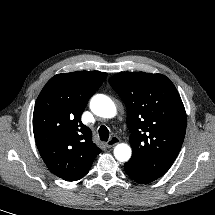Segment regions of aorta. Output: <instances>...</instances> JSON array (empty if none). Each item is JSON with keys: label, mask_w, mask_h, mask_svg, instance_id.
Instances as JSON below:
<instances>
[{"label": "aorta", "mask_w": 215, "mask_h": 215, "mask_svg": "<svg viewBox=\"0 0 215 215\" xmlns=\"http://www.w3.org/2000/svg\"><path fill=\"white\" fill-rule=\"evenodd\" d=\"M90 109L94 114L103 118H112L116 115V106L114 102L103 94L92 97ZM114 156L118 161H128L131 157V148L125 143L118 144L114 148Z\"/></svg>", "instance_id": "762f6f07"}]
</instances>
